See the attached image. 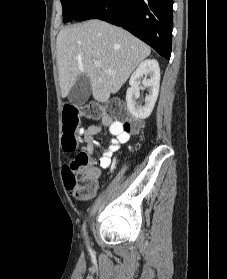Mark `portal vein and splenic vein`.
<instances>
[{"label":"portal vein and splenic vein","mask_w":227,"mask_h":279,"mask_svg":"<svg viewBox=\"0 0 227 279\" xmlns=\"http://www.w3.org/2000/svg\"><path fill=\"white\" fill-rule=\"evenodd\" d=\"M94 65H95L96 67H101V66H102V64H101L100 61H94ZM105 71L108 72V73H114V72H112L111 70H105Z\"/></svg>","instance_id":"portal-vein-and-splenic-vein-1"}]
</instances>
